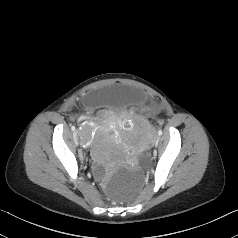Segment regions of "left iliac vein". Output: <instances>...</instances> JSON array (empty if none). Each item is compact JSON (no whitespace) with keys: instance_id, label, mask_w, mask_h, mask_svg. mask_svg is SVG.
I'll return each mask as SVG.
<instances>
[{"instance_id":"left-iliac-vein-1","label":"left iliac vein","mask_w":238,"mask_h":238,"mask_svg":"<svg viewBox=\"0 0 238 238\" xmlns=\"http://www.w3.org/2000/svg\"><path fill=\"white\" fill-rule=\"evenodd\" d=\"M159 143H160V137L157 135V136L155 137V148H158Z\"/></svg>"}]
</instances>
